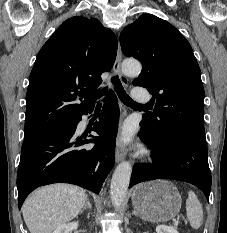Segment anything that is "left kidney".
Returning <instances> with one entry per match:
<instances>
[{
    "label": "left kidney",
    "mask_w": 227,
    "mask_h": 233,
    "mask_svg": "<svg viewBox=\"0 0 227 233\" xmlns=\"http://www.w3.org/2000/svg\"><path fill=\"white\" fill-rule=\"evenodd\" d=\"M157 233H178V231L170 226L159 225L156 227Z\"/></svg>",
    "instance_id": "5707ae66"
}]
</instances>
